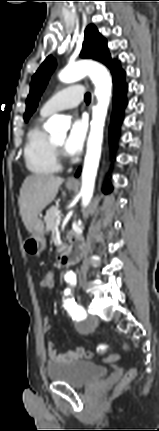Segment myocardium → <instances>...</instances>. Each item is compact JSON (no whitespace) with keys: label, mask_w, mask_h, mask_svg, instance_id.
<instances>
[{"label":"myocardium","mask_w":159,"mask_h":431,"mask_svg":"<svg viewBox=\"0 0 159 431\" xmlns=\"http://www.w3.org/2000/svg\"><path fill=\"white\" fill-rule=\"evenodd\" d=\"M52 143H53V146L55 148L57 157H61L63 155L62 151H61V145L55 143L54 141H52Z\"/></svg>","instance_id":"f54148a6"}]
</instances>
